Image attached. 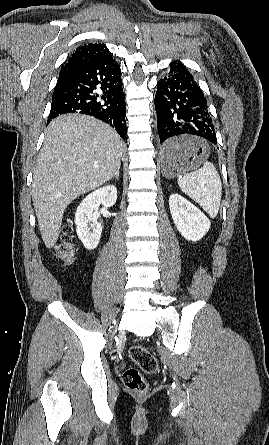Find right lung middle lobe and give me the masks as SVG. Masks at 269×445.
Listing matches in <instances>:
<instances>
[{"label": "right lung middle lobe", "instance_id": "right-lung-middle-lobe-1", "mask_svg": "<svg viewBox=\"0 0 269 445\" xmlns=\"http://www.w3.org/2000/svg\"><path fill=\"white\" fill-rule=\"evenodd\" d=\"M56 92L54 91L53 96H55Z\"/></svg>", "mask_w": 269, "mask_h": 445}]
</instances>
